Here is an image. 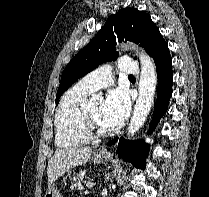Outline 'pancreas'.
I'll return each instance as SVG.
<instances>
[{
    "label": "pancreas",
    "instance_id": "pancreas-1",
    "mask_svg": "<svg viewBox=\"0 0 209 197\" xmlns=\"http://www.w3.org/2000/svg\"><path fill=\"white\" fill-rule=\"evenodd\" d=\"M83 187L82 185V179L80 177V175L74 176L71 179V189H81Z\"/></svg>",
    "mask_w": 209,
    "mask_h": 197
}]
</instances>
